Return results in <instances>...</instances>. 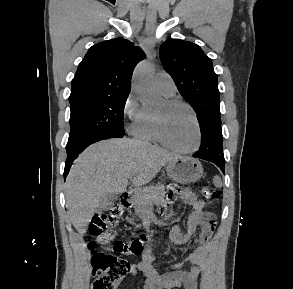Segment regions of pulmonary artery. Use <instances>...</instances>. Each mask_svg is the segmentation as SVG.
<instances>
[{
  "label": "pulmonary artery",
  "instance_id": "e3ab8cb5",
  "mask_svg": "<svg viewBox=\"0 0 293 289\" xmlns=\"http://www.w3.org/2000/svg\"><path fill=\"white\" fill-rule=\"evenodd\" d=\"M157 89L164 95H172L175 92V83L166 72H160L155 77Z\"/></svg>",
  "mask_w": 293,
  "mask_h": 289
}]
</instances>
